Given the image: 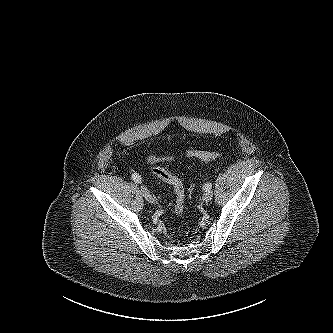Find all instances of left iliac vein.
<instances>
[{
    "label": "left iliac vein",
    "mask_w": 333,
    "mask_h": 333,
    "mask_svg": "<svg viewBox=\"0 0 333 333\" xmlns=\"http://www.w3.org/2000/svg\"><path fill=\"white\" fill-rule=\"evenodd\" d=\"M213 197V193L211 190H208L204 193V201L209 202Z\"/></svg>",
    "instance_id": "obj_1"
}]
</instances>
